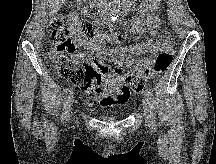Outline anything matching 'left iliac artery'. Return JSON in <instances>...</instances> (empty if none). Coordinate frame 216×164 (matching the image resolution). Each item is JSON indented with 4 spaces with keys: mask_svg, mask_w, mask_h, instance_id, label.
<instances>
[{
    "mask_svg": "<svg viewBox=\"0 0 216 164\" xmlns=\"http://www.w3.org/2000/svg\"><path fill=\"white\" fill-rule=\"evenodd\" d=\"M146 95L148 96L149 105L152 109L153 108V97H152L153 95H152V91L150 88L146 90ZM150 115L152 116V127L151 128L155 130L156 129V123H155V119H154L153 110L150 111Z\"/></svg>",
    "mask_w": 216,
    "mask_h": 164,
    "instance_id": "left-iliac-artery-1",
    "label": "left iliac artery"
}]
</instances>
